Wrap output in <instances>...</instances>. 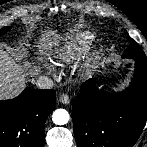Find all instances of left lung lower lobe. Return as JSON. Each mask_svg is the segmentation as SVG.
<instances>
[{
  "label": "left lung lower lobe",
  "mask_w": 147,
  "mask_h": 147,
  "mask_svg": "<svg viewBox=\"0 0 147 147\" xmlns=\"http://www.w3.org/2000/svg\"><path fill=\"white\" fill-rule=\"evenodd\" d=\"M78 147H131L147 119V65L135 63L128 88L106 94L90 79L72 106Z\"/></svg>",
  "instance_id": "1"
}]
</instances>
